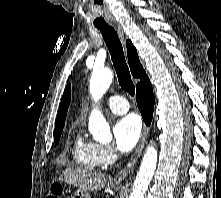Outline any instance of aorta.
Instances as JSON below:
<instances>
[{
  "label": "aorta",
  "mask_w": 221,
  "mask_h": 198,
  "mask_svg": "<svg viewBox=\"0 0 221 198\" xmlns=\"http://www.w3.org/2000/svg\"><path fill=\"white\" fill-rule=\"evenodd\" d=\"M112 79L113 73L109 69L93 70L89 85V91L93 99L98 100L105 94L112 83ZM88 128L93 138L97 141L106 142L112 139L109 124L106 122L104 116L96 110L89 117ZM156 165L157 150L151 142L143 156L130 198H144V194L154 175Z\"/></svg>",
  "instance_id": "obj_1"
}]
</instances>
